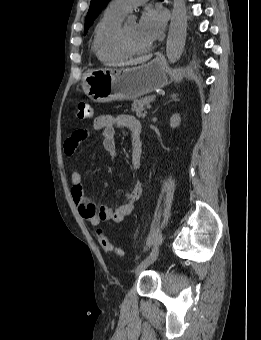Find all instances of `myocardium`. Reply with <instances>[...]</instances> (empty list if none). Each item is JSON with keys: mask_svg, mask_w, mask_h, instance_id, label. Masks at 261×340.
Here are the masks:
<instances>
[{"mask_svg": "<svg viewBox=\"0 0 261 340\" xmlns=\"http://www.w3.org/2000/svg\"><path fill=\"white\" fill-rule=\"evenodd\" d=\"M118 46L127 55H141V54L147 53L151 49L150 45L144 49L134 48L128 39L125 25H121L118 31Z\"/></svg>", "mask_w": 261, "mask_h": 340, "instance_id": "f54148a6", "label": "myocardium"}]
</instances>
